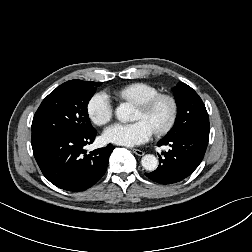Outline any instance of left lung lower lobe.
<instances>
[{
    "label": "left lung lower lobe",
    "instance_id": "0a47b994",
    "mask_svg": "<svg viewBox=\"0 0 252 252\" xmlns=\"http://www.w3.org/2000/svg\"><path fill=\"white\" fill-rule=\"evenodd\" d=\"M209 140V132L194 130L172 138H163L158 144L169 145L171 150L159 157L158 168L145 175L161 184L179 182L193 173L201 163Z\"/></svg>",
    "mask_w": 252,
    "mask_h": 252
}]
</instances>
